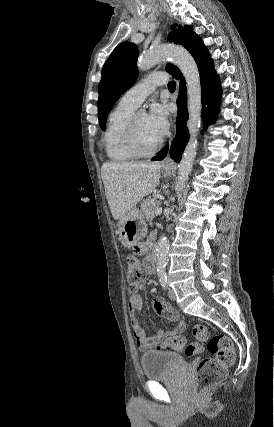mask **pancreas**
<instances>
[{
    "mask_svg": "<svg viewBox=\"0 0 274 427\" xmlns=\"http://www.w3.org/2000/svg\"><path fill=\"white\" fill-rule=\"evenodd\" d=\"M161 202L157 198H146L141 204L142 215H145L147 221H152L155 217V210L159 208Z\"/></svg>",
    "mask_w": 274,
    "mask_h": 427,
    "instance_id": "cf45deb5",
    "label": "pancreas"
}]
</instances>
